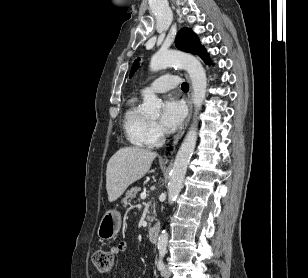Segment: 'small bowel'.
I'll return each instance as SVG.
<instances>
[{
  "mask_svg": "<svg viewBox=\"0 0 308 278\" xmlns=\"http://www.w3.org/2000/svg\"><path fill=\"white\" fill-rule=\"evenodd\" d=\"M127 249V243L124 241L119 242L118 244H116L115 246L111 247V252L114 255L120 254L125 252Z\"/></svg>",
  "mask_w": 308,
  "mask_h": 278,
  "instance_id": "1",
  "label": "small bowel"
}]
</instances>
